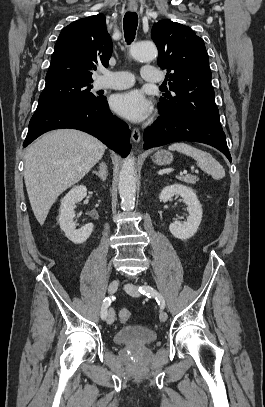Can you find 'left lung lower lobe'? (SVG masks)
Returning <instances> with one entry per match:
<instances>
[{
    "instance_id": "obj_1",
    "label": "left lung lower lobe",
    "mask_w": 265,
    "mask_h": 407,
    "mask_svg": "<svg viewBox=\"0 0 265 407\" xmlns=\"http://www.w3.org/2000/svg\"><path fill=\"white\" fill-rule=\"evenodd\" d=\"M144 148L149 149L176 141H195L220 150L231 162L225 133L222 128L204 120L184 116H160L144 132Z\"/></svg>"
}]
</instances>
